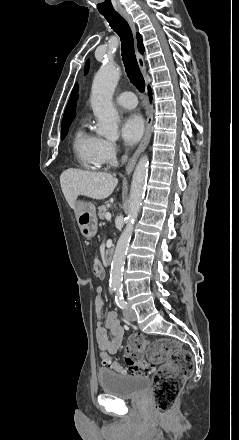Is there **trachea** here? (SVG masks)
Masks as SVG:
<instances>
[{"instance_id": "trachea-1", "label": "trachea", "mask_w": 239, "mask_h": 440, "mask_svg": "<svg viewBox=\"0 0 239 440\" xmlns=\"http://www.w3.org/2000/svg\"><path fill=\"white\" fill-rule=\"evenodd\" d=\"M121 39L122 60L130 82L140 91L145 90V81L134 51V39L128 22L117 12L102 14Z\"/></svg>"}]
</instances>
